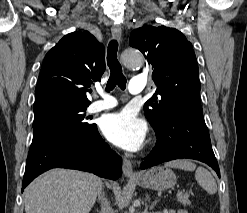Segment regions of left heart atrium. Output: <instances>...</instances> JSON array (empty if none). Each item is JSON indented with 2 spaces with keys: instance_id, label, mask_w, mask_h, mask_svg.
Returning a JSON list of instances; mask_svg holds the SVG:
<instances>
[{
  "instance_id": "left-heart-atrium-1",
  "label": "left heart atrium",
  "mask_w": 247,
  "mask_h": 213,
  "mask_svg": "<svg viewBox=\"0 0 247 213\" xmlns=\"http://www.w3.org/2000/svg\"><path fill=\"white\" fill-rule=\"evenodd\" d=\"M100 129L108 141L128 151L141 149L147 134L146 123L131 110L105 115Z\"/></svg>"
}]
</instances>
